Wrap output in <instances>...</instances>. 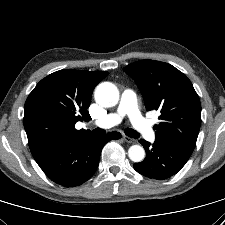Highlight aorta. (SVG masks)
<instances>
[{
  "label": "aorta",
  "mask_w": 225,
  "mask_h": 225,
  "mask_svg": "<svg viewBox=\"0 0 225 225\" xmlns=\"http://www.w3.org/2000/svg\"><path fill=\"white\" fill-rule=\"evenodd\" d=\"M95 100L102 107H113L119 101V91L113 83L103 82L95 90ZM128 156L133 162H141L145 151L140 145H133L128 150Z\"/></svg>",
  "instance_id": "1"
}]
</instances>
